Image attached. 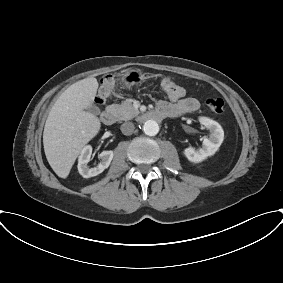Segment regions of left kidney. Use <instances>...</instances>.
<instances>
[{
	"mask_svg": "<svg viewBox=\"0 0 283 283\" xmlns=\"http://www.w3.org/2000/svg\"><path fill=\"white\" fill-rule=\"evenodd\" d=\"M199 121L209 129L210 135L203 140L202 148L195 150L189 147L183 151L186 158L193 163H200L214 155L224 140V131L219 123L206 117L199 118Z\"/></svg>",
	"mask_w": 283,
	"mask_h": 283,
	"instance_id": "obj_1",
	"label": "left kidney"
}]
</instances>
